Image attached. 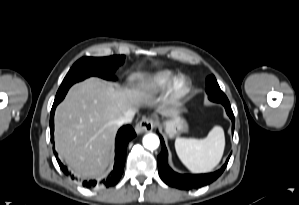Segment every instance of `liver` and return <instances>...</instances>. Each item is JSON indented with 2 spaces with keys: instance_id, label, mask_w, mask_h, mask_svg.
Here are the masks:
<instances>
[{
  "instance_id": "6515ba94",
  "label": "liver",
  "mask_w": 299,
  "mask_h": 205,
  "mask_svg": "<svg viewBox=\"0 0 299 205\" xmlns=\"http://www.w3.org/2000/svg\"><path fill=\"white\" fill-rule=\"evenodd\" d=\"M130 90L97 77L73 85L55 113V145L73 173L83 179L100 175L108 166L118 130L117 120L137 112L140 103ZM174 117L176 107L159 110Z\"/></svg>"
}]
</instances>
